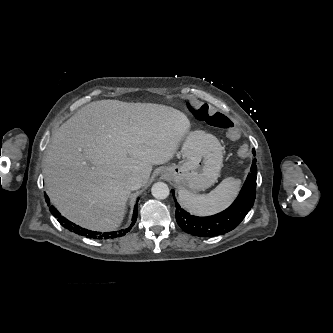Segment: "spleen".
Returning <instances> with one entry per match:
<instances>
[{"label":"spleen","instance_id":"3e777b00","mask_svg":"<svg viewBox=\"0 0 333 333\" xmlns=\"http://www.w3.org/2000/svg\"><path fill=\"white\" fill-rule=\"evenodd\" d=\"M241 181L228 177L208 194H193L186 189L178 192L183 207L190 213L206 216L227 208L238 194Z\"/></svg>","mask_w":333,"mask_h":333}]
</instances>
